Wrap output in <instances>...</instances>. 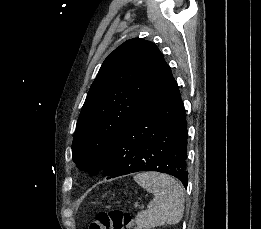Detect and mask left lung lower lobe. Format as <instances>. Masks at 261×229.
Segmentation results:
<instances>
[{
  "mask_svg": "<svg viewBox=\"0 0 261 229\" xmlns=\"http://www.w3.org/2000/svg\"><path fill=\"white\" fill-rule=\"evenodd\" d=\"M187 122L173 76L161 85L133 116L104 162L107 179L152 170L178 178L185 187Z\"/></svg>",
  "mask_w": 261,
  "mask_h": 229,
  "instance_id": "1",
  "label": "left lung lower lobe"
}]
</instances>
